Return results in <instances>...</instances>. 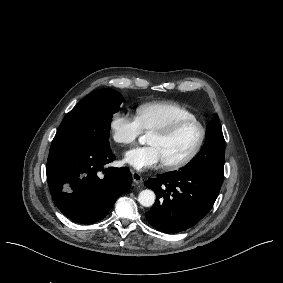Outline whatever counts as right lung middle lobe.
Returning a JSON list of instances; mask_svg holds the SVG:
<instances>
[{
	"label": "right lung middle lobe",
	"instance_id": "1",
	"mask_svg": "<svg viewBox=\"0 0 283 283\" xmlns=\"http://www.w3.org/2000/svg\"><path fill=\"white\" fill-rule=\"evenodd\" d=\"M122 102L121 94L110 88L87 95L65 116L51 147L85 145L109 150L112 116Z\"/></svg>",
	"mask_w": 283,
	"mask_h": 283
}]
</instances>
